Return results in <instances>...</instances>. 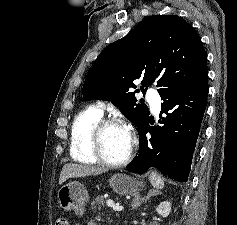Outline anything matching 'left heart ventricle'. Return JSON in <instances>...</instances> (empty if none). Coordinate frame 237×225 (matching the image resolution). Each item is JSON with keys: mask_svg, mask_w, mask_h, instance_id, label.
Here are the masks:
<instances>
[{"mask_svg": "<svg viewBox=\"0 0 237 225\" xmlns=\"http://www.w3.org/2000/svg\"><path fill=\"white\" fill-rule=\"evenodd\" d=\"M131 145L130 135L122 127H108L102 136L105 156L114 162L121 161L127 155Z\"/></svg>", "mask_w": 237, "mask_h": 225, "instance_id": "obj_1", "label": "left heart ventricle"}]
</instances>
